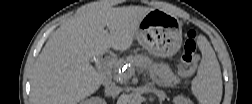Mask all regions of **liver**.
Returning <instances> with one entry per match:
<instances>
[{"mask_svg":"<svg viewBox=\"0 0 252 104\" xmlns=\"http://www.w3.org/2000/svg\"><path fill=\"white\" fill-rule=\"evenodd\" d=\"M152 10L142 6L114 8L94 2L63 22L34 64L33 102L75 104L95 93L104 75L90 64L91 59L110 48L128 50L139 23Z\"/></svg>","mask_w":252,"mask_h":104,"instance_id":"1","label":"liver"}]
</instances>
